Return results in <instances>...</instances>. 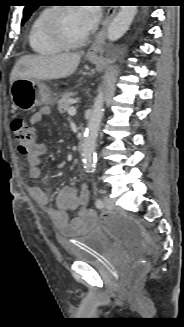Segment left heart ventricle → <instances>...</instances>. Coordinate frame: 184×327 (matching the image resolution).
<instances>
[{"mask_svg": "<svg viewBox=\"0 0 184 327\" xmlns=\"http://www.w3.org/2000/svg\"><path fill=\"white\" fill-rule=\"evenodd\" d=\"M60 23L62 31L71 40H78L88 33L84 21L76 8L63 12L60 17Z\"/></svg>", "mask_w": 184, "mask_h": 327, "instance_id": "1", "label": "left heart ventricle"}]
</instances>
